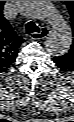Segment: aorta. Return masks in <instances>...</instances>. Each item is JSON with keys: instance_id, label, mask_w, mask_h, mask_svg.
<instances>
[{"instance_id": "obj_1", "label": "aorta", "mask_w": 74, "mask_h": 122, "mask_svg": "<svg viewBox=\"0 0 74 122\" xmlns=\"http://www.w3.org/2000/svg\"><path fill=\"white\" fill-rule=\"evenodd\" d=\"M18 7L25 16L50 27L45 47L51 55L62 56L69 51L72 29L52 1H19Z\"/></svg>"}]
</instances>
